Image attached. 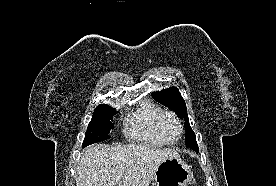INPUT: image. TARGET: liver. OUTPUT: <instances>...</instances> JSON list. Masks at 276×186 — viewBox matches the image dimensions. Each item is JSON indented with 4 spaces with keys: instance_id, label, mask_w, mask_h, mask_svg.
I'll return each mask as SVG.
<instances>
[{
    "instance_id": "obj_1",
    "label": "liver",
    "mask_w": 276,
    "mask_h": 186,
    "mask_svg": "<svg viewBox=\"0 0 276 186\" xmlns=\"http://www.w3.org/2000/svg\"><path fill=\"white\" fill-rule=\"evenodd\" d=\"M171 156L179 154L143 143L90 145L81 153L76 186H149L158 166Z\"/></svg>"
}]
</instances>
